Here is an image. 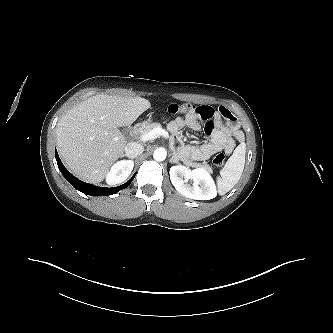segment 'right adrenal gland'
I'll list each match as a JSON object with an SVG mask.
<instances>
[{
	"instance_id": "1",
	"label": "right adrenal gland",
	"mask_w": 333,
	"mask_h": 333,
	"mask_svg": "<svg viewBox=\"0 0 333 333\" xmlns=\"http://www.w3.org/2000/svg\"><path fill=\"white\" fill-rule=\"evenodd\" d=\"M123 157H127V158H129V159H134V158H136L135 156H129V155H127V154H124Z\"/></svg>"
}]
</instances>
